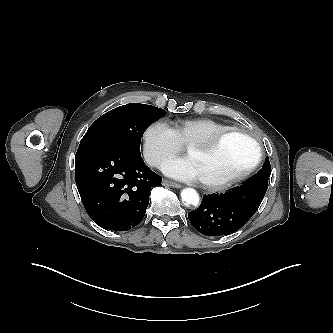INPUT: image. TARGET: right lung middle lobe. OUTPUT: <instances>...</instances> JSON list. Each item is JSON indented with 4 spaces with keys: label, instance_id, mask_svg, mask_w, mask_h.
I'll list each match as a JSON object with an SVG mask.
<instances>
[{
    "label": "right lung middle lobe",
    "instance_id": "obj_1",
    "mask_svg": "<svg viewBox=\"0 0 333 333\" xmlns=\"http://www.w3.org/2000/svg\"><path fill=\"white\" fill-rule=\"evenodd\" d=\"M165 114V110L146 104L130 103L117 107L89 127L79 146L107 144L140 154L143 133Z\"/></svg>",
    "mask_w": 333,
    "mask_h": 333
}]
</instances>
